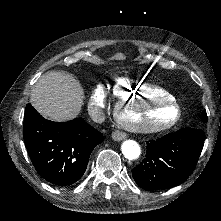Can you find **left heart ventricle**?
Wrapping results in <instances>:
<instances>
[{
	"instance_id": "b2bd125f",
	"label": "left heart ventricle",
	"mask_w": 221,
	"mask_h": 221,
	"mask_svg": "<svg viewBox=\"0 0 221 221\" xmlns=\"http://www.w3.org/2000/svg\"><path fill=\"white\" fill-rule=\"evenodd\" d=\"M178 111L174 105L171 106H161L159 108L153 109L148 107H132L124 108L118 112L117 118L121 124H137L150 121L156 123L160 122H171L177 118Z\"/></svg>"
}]
</instances>
